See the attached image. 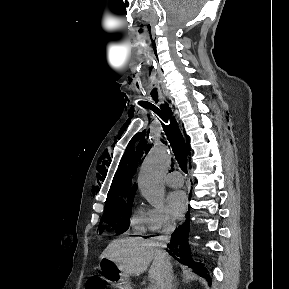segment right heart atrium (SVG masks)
Wrapping results in <instances>:
<instances>
[{
  "mask_svg": "<svg viewBox=\"0 0 289 289\" xmlns=\"http://www.w3.org/2000/svg\"><path fill=\"white\" fill-rule=\"evenodd\" d=\"M174 227V221L165 208L150 209L149 229L154 233H161Z\"/></svg>",
  "mask_w": 289,
  "mask_h": 289,
  "instance_id": "1",
  "label": "right heart atrium"
}]
</instances>
